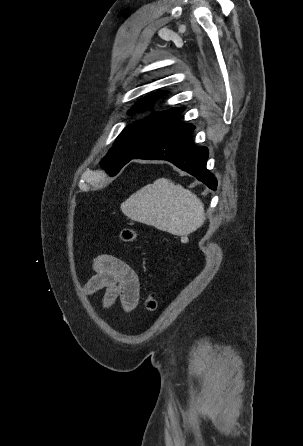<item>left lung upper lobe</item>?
I'll list each match as a JSON object with an SVG mask.
<instances>
[{
  "label": "left lung upper lobe",
  "mask_w": 303,
  "mask_h": 446,
  "mask_svg": "<svg viewBox=\"0 0 303 446\" xmlns=\"http://www.w3.org/2000/svg\"><path fill=\"white\" fill-rule=\"evenodd\" d=\"M164 93L158 92L143 98L135 104L130 112L151 108ZM182 110V108H171L152 113L148 118L127 126L115 140L114 147L103 159V167L113 174L126 158L138 154L151 144L176 132L184 124L179 119Z\"/></svg>",
  "instance_id": "obj_1"
}]
</instances>
